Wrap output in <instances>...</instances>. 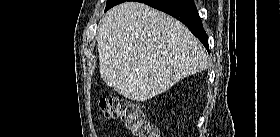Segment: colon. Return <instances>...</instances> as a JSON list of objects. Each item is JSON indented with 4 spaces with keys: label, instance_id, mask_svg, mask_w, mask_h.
<instances>
[{
    "label": "colon",
    "instance_id": "1",
    "mask_svg": "<svg viewBox=\"0 0 280 137\" xmlns=\"http://www.w3.org/2000/svg\"><path fill=\"white\" fill-rule=\"evenodd\" d=\"M99 109L106 118H120L135 137H158V128L150 123L141 107L132 101L118 97H104Z\"/></svg>",
    "mask_w": 280,
    "mask_h": 137
}]
</instances>
